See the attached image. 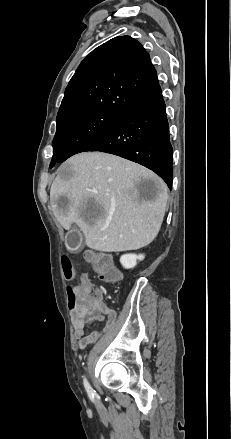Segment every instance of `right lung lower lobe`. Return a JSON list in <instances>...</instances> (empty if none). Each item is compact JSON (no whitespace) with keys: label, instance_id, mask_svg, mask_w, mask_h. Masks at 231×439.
<instances>
[{"label":"right lung lower lobe","instance_id":"98d812e1","mask_svg":"<svg viewBox=\"0 0 231 439\" xmlns=\"http://www.w3.org/2000/svg\"><path fill=\"white\" fill-rule=\"evenodd\" d=\"M86 151H101L139 163L172 188L173 149L162 92L129 109Z\"/></svg>","mask_w":231,"mask_h":439}]
</instances>
